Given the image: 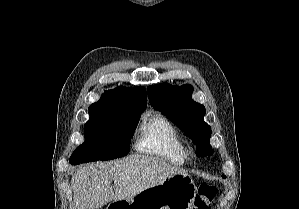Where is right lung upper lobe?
I'll return each mask as SVG.
<instances>
[{
  "label": "right lung upper lobe",
  "mask_w": 299,
  "mask_h": 209,
  "mask_svg": "<svg viewBox=\"0 0 299 209\" xmlns=\"http://www.w3.org/2000/svg\"><path fill=\"white\" fill-rule=\"evenodd\" d=\"M147 104L144 87H118L105 91L100 100L90 105L91 113H142Z\"/></svg>",
  "instance_id": "1"
}]
</instances>
